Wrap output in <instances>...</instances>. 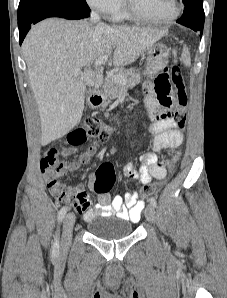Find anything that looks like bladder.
<instances>
[{
  "mask_svg": "<svg viewBox=\"0 0 227 298\" xmlns=\"http://www.w3.org/2000/svg\"><path fill=\"white\" fill-rule=\"evenodd\" d=\"M87 229L96 238L107 241L128 237L133 232L132 223L128 220H106L102 217L89 220Z\"/></svg>",
  "mask_w": 227,
  "mask_h": 298,
  "instance_id": "1",
  "label": "bladder"
}]
</instances>
